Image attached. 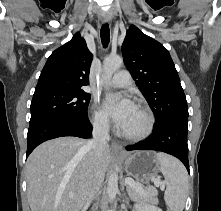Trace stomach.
Listing matches in <instances>:
<instances>
[{"mask_svg":"<svg viewBox=\"0 0 221 211\" xmlns=\"http://www.w3.org/2000/svg\"><path fill=\"white\" fill-rule=\"evenodd\" d=\"M125 171L129 176L147 183L160 169L156 154L151 151H139L124 158Z\"/></svg>","mask_w":221,"mask_h":211,"instance_id":"0dacf381","label":"stomach"}]
</instances>
